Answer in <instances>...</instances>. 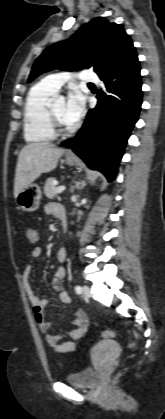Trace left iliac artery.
I'll use <instances>...</instances> for the list:
<instances>
[{"instance_id":"44dca946","label":"left iliac artery","mask_w":165,"mask_h":419,"mask_svg":"<svg viewBox=\"0 0 165 419\" xmlns=\"http://www.w3.org/2000/svg\"><path fill=\"white\" fill-rule=\"evenodd\" d=\"M75 292H76L77 294H81V292H82V288H81L79 285H77V286L75 287Z\"/></svg>"}]
</instances>
